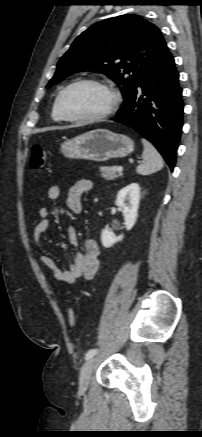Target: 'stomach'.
I'll return each instance as SVG.
<instances>
[{
    "instance_id": "obj_1",
    "label": "stomach",
    "mask_w": 202,
    "mask_h": 437,
    "mask_svg": "<svg viewBox=\"0 0 202 437\" xmlns=\"http://www.w3.org/2000/svg\"><path fill=\"white\" fill-rule=\"evenodd\" d=\"M134 150V142L123 134L106 129H96L81 134L61 144V153L71 159L97 162L124 158Z\"/></svg>"
}]
</instances>
